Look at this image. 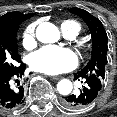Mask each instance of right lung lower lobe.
Masks as SVG:
<instances>
[{
  "instance_id": "obj_1",
  "label": "right lung lower lobe",
  "mask_w": 117,
  "mask_h": 117,
  "mask_svg": "<svg viewBox=\"0 0 117 117\" xmlns=\"http://www.w3.org/2000/svg\"><path fill=\"white\" fill-rule=\"evenodd\" d=\"M25 68L24 63L11 69L0 68V109L18 108L24 102V87L19 85V81L16 79L22 77ZM14 80L18 87L12 86Z\"/></svg>"
}]
</instances>
